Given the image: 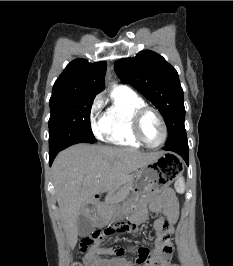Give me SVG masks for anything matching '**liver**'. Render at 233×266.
<instances>
[{"mask_svg":"<svg viewBox=\"0 0 233 266\" xmlns=\"http://www.w3.org/2000/svg\"><path fill=\"white\" fill-rule=\"evenodd\" d=\"M160 153L132 148L77 144L60 152L52 165L53 183L69 245L77 243V220L96 193L119 187L130 173L156 160ZM101 174L98 178L97 175ZM88 216V215H87ZM93 225L96 220L88 216Z\"/></svg>","mask_w":233,"mask_h":266,"instance_id":"obj_1","label":"liver"}]
</instances>
